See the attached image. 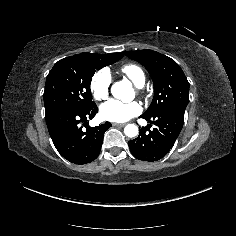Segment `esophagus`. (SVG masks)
Segmentation results:
<instances>
[{"mask_svg": "<svg viewBox=\"0 0 236 236\" xmlns=\"http://www.w3.org/2000/svg\"><path fill=\"white\" fill-rule=\"evenodd\" d=\"M113 126L117 127V126H125V123H112Z\"/></svg>", "mask_w": 236, "mask_h": 236, "instance_id": "1", "label": "esophagus"}]
</instances>
